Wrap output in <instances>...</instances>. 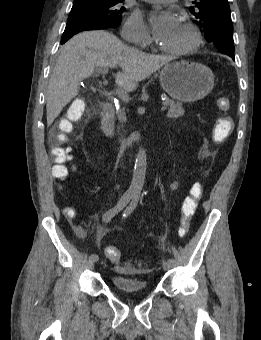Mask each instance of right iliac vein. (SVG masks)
Returning <instances> with one entry per match:
<instances>
[{
    "label": "right iliac vein",
    "instance_id": "right-iliac-vein-1",
    "mask_svg": "<svg viewBox=\"0 0 261 340\" xmlns=\"http://www.w3.org/2000/svg\"><path fill=\"white\" fill-rule=\"evenodd\" d=\"M86 266H87V268L89 269V270H92L93 268H94V262L92 261V260H88L87 262H86Z\"/></svg>",
    "mask_w": 261,
    "mask_h": 340
}]
</instances>
